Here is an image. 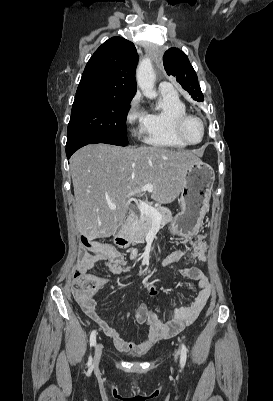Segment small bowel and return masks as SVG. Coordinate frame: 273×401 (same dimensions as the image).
<instances>
[{
    "label": "small bowel",
    "instance_id": "small-bowel-1",
    "mask_svg": "<svg viewBox=\"0 0 273 401\" xmlns=\"http://www.w3.org/2000/svg\"><path fill=\"white\" fill-rule=\"evenodd\" d=\"M85 246L91 247L94 258L87 261H94L95 266L103 264L114 274H120L128 268V261L124 253L111 244L84 242L82 251H84ZM206 249V235L198 234L193 238V246L191 248L172 251L162 260V263L168 266L181 265L185 261L197 263L205 258ZM179 271L184 278L197 282L198 290L194 300L190 304L174 306L168 309L162 317L152 315L145 304H140L132 314L126 313L124 315L126 318L131 317L138 324L147 323L149 325L147 338L141 343H133L122 338L119 330L101 318L96 302L87 303L91 302V293L98 292L96 291V287L106 286L107 281L105 278L92 275V278H95L93 284H86L85 290H74L73 297L76 304L80 305L87 317L113 340L118 350L122 352L143 353L154 341L160 344L162 342L161 338L171 337L184 327L194 323L209 303L213 289L210 276L196 266L182 265L179 267ZM151 316H153V320L149 323L148 318Z\"/></svg>",
    "mask_w": 273,
    "mask_h": 401
}]
</instances>
